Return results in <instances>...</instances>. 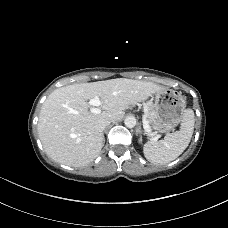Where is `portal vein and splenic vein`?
<instances>
[{"instance_id": "portal-vein-and-splenic-vein-1", "label": "portal vein and splenic vein", "mask_w": 228, "mask_h": 228, "mask_svg": "<svg viewBox=\"0 0 228 228\" xmlns=\"http://www.w3.org/2000/svg\"><path fill=\"white\" fill-rule=\"evenodd\" d=\"M88 104H89L90 106H93V108L90 109V111H91L92 113L98 114V113L101 112V110H100L99 108H95V107H99V106L101 105V100H100V98H99L98 96H96V97L90 99V100L88 101ZM142 122H143L144 128H145L146 130H149L148 121H147V119H146L145 116H143Z\"/></svg>"}]
</instances>
